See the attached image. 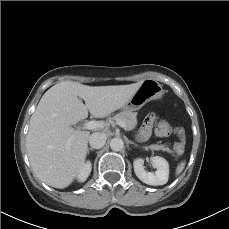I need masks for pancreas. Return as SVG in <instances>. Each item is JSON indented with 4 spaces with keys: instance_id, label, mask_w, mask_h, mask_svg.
Returning <instances> with one entry per match:
<instances>
[{
    "instance_id": "pancreas-1",
    "label": "pancreas",
    "mask_w": 229,
    "mask_h": 229,
    "mask_svg": "<svg viewBox=\"0 0 229 229\" xmlns=\"http://www.w3.org/2000/svg\"><path fill=\"white\" fill-rule=\"evenodd\" d=\"M137 113L135 112H131V111H122L118 114H116L114 117L110 118V121H122L126 124V128L125 130H132L136 127L137 125V119H136ZM149 149L151 150H162V151H166L168 153H173V151L166 147L165 145H158V144H152L149 146Z\"/></svg>"
}]
</instances>
